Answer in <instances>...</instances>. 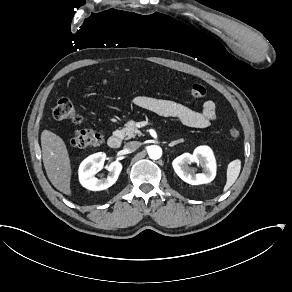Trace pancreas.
I'll return each instance as SVG.
<instances>
[{
  "instance_id": "obj_1",
  "label": "pancreas",
  "mask_w": 292,
  "mask_h": 292,
  "mask_svg": "<svg viewBox=\"0 0 292 292\" xmlns=\"http://www.w3.org/2000/svg\"><path fill=\"white\" fill-rule=\"evenodd\" d=\"M124 134L127 136L126 139H131L136 135H141V132L137 129L136 122L133 119H128L125 128L117 132L116 136L119 138H124Z\"/></svg>"
}]
</instances>
